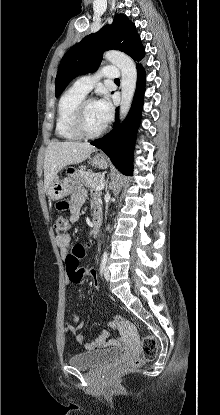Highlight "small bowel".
I'll use <instances>...</instances> for the list:
<instances>
[{
    "mask_svg": "<svg viewBox=\"0 0 220 415\" xmlns=\"http://www.w3.org/2000/svg\"><path fill=\"white\" fill-rule=\"evenodd\" d=\"M86 199V192L83 189L77 190L70 201V204L68 205L67 209L70 213V223L74 224L78 221L81 213V209L83 206V203ZM93 211L94 216L101 212V206L99 202V197L95 195L93 200ZM70 234L65 233L63 235H58L56 238V242L61 250L62 255H66L67 251L70 246ZM94 273V285L96 288H99V280L96 276V273ZM82 328V324L77 323V317L74 315L71 318L70 323L67 326V329L69 332L75 334L76 340L78 343L83 344L84 347L87 350H94L98 348H108V347H114L120 344L118 340H113L109 338V332L107 330L101 331L100 335L93 341V342H86V338L83 334L79 333V330Z\"/></svg>",
    "mask_w": 220,
    "mask_h": 415,
    "instance_id": "small-bowel-1",
    "label": "small bowel"
}]
</instances>
